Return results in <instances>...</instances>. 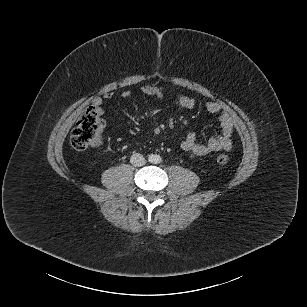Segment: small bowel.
Returning a JSON list of instances; mask_svg holds the SVG:
<instances>
[{"label": "small bowel", "mask_w": 307, "mask_h": 307, "mask_svg": "<svg viewBox=\"0 0 307 307\" xmlns=\"http://www.w3.org/2000/svg\"><path fill=\"white\" fill-rule=\"evenodd\" d=\"M141 91L147 96H156L160 98L165 96V91L162 88L152 84L142 86ZM130 95V91H123L121 93L122 98H128ZM112 98L113 93L109 92L102 98L98 97L94 99L93 106L98 109L100 116H102L104 112V101ZM178 101L181 107L188 110L194 109L197 106V101L187 95L180 96ZM205 109L209 113L217 116L220 131L218 134L210 137L205 143L198 141L197 135L194 132L187 134L181 141V148L187 152L190 157L206 156L214 152L229 151L232 148L231 135L234 131V125L231 118L223 112L222 107L217 102H206Z\"/></svg>", "instance_id": "c3829d8e"}]
</instances>
